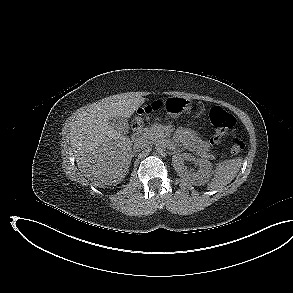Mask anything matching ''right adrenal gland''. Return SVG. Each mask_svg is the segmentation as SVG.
<instances>
[{
    "label": "right adrenal gland",
    "instance_id": "obj_1",
    "mask_svg": "<svg viewBox=\"0 0 293 293\" xmlns=\"http://www.w3.org/2000/svg\"><path fill=\"white\" fill-rule=\"evenodd\" d=\"M135 155V153H132V157Z\"/></svg>",
    "mask_w": 293,
    "mask_h": 293
}]
</instances>
